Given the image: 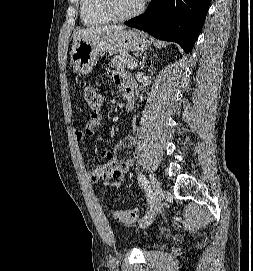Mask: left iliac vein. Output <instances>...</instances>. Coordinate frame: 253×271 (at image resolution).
Returning a JSON list of instances; mask_svg holds the SVG:
<instances>
[{"label":"left iliac vein","instance_id":"1","mask_svg":"<svg viewBox=\"0 0 253 271\" xmlns=\"http://www.w3.org/2000/svg\"><path fill=\"white\" fill-rule=\"evenodd\" d=\"M164 197V192L162 191L161 185L157 178L152 175L151 176V198L149 200V211L147 215L142 220V225L148 226L155 219L158 208L161 200Z\"/></svg>","mask_w":253,"mask_h":271}]
</instances>
